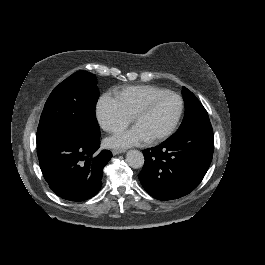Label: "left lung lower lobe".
<instances>
[{
  "instance_id": "1",
  "label": "left lung lower lobe",
  "mask_w": 265,
  "mask_h": 265,
  "mask_svg": "<svg viewBox=\"0 0 265 265\" xmlns=\"http://www.w3.org/2000/svg\"><path fill=\"white\" fill-rule=\"evenodd\" d=\"M214 151L211 123L174 134L159 146L143 150L139 180L158 200H172L192 192L206 174Z\"/></svg>"
}]
</instances>
